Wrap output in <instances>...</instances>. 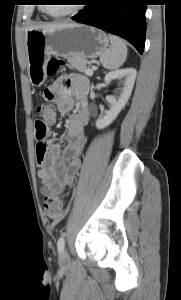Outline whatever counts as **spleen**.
I'll return each instance as SVG.
<instances>
[{
  "mask_svg": "<svg viewBox=\"0 0 181 300\" xmlns=\"http://www.w3.org/2000/svg\"><path fill=\"white\" fill-rule=\"evenodd\" d=\"M111 47L100 56V62L105 69L114 70L123 65L127 58L128 49L125 42L112 34H109Z\"/></svg>",
  "mask_w": 181,
  "mask_h": 300,
  "instance_id": "obj_1",
  "label": "spleen"
}]
</instances>
